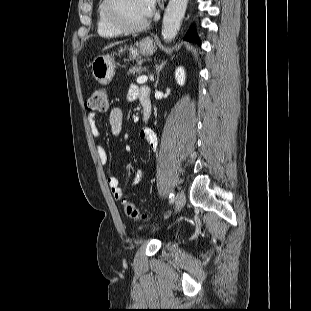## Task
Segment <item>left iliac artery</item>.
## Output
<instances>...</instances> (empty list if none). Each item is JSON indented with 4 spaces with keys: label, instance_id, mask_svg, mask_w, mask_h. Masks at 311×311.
<instances>
[{
    "label": "left iliac artery",
    "instance_id": "obj_1",
    "mask_svg": "<svg viewBox=\"0 0 311 311\" xmlns=\"http://www.w3.org/2000/svg\"><path fill=\"white\" fill-rule=\"evenodd\" d=\"M169 202H170V204L174 202V193L173 192H171L169 195Z\"/></svg>",
    "mask_w": 311,
    "mask_h": 311
}]
</instances>
